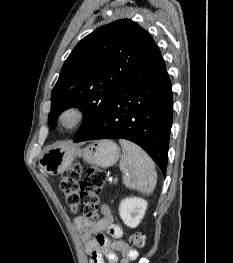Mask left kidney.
<instances>
[{"label":"left kidney","instance_id":"1","mask_svg":"<svg viewBox=\"0 0 233 263\" xmlns=\"http://www.w3.org/2000/svg\"><path fill=\"white\" fill-rule=\"evenodd\" d=\"M147 202L141 198L131 197L121 200L119 214L124 224L131 228L139 225L145 215Z\"/></svg>","mask_w":233,"mask_h":263}]
</instances>
